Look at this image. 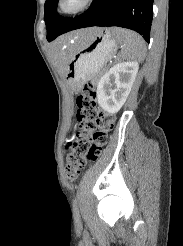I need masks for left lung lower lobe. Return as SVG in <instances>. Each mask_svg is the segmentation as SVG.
Instances as JSON below:
<instances>
[{
	"label": "left lung lower lobe",
	"mask_w": 183,
	"mask_h": 246,
	"mask_svg": "<svg viewBox=\"0 0 183 246\" xmlns=\"http://www.w3.org/2000/svg\"><path fill=\"white\" fill-rule=\"evenodd\" d=\"M153 1L93 0L86 12L70 19L61 34L92 26H118L138 32L149 42L153 18Z\"/></svg>",
	"instance_id": "1"
}]
</instances>
